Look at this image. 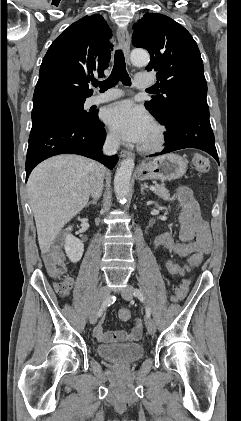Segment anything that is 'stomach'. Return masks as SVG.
I'll return each mask as SVG.
<instances>
[{
    "mask_svg": "<svg viewBox=\"0 0 241 421\" xmlns=\"http://www.w3.org/2000/svg\"><path fill=\"white\" fill-rule=\"evenodd\" d=\"M186 170L187 161L172 153L143 162L137 168V177L139 180H174L182 177Z\"/></svg>",
    "mask_w": 241,
    "mask_h": 421,
    "instance_id": "1",
    "label": "stomach"
}]
</instances>
